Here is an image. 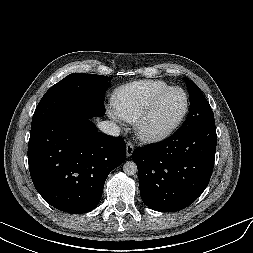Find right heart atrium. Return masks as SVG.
Segmentation results:
<instances>
[{"label": "right heart atrium", "mask_w": 253, "mask_h": 253, "mask_svg": "<svg viewBox=\"0 0 253 253\" xmlns=\"http://www.w3.org/2000/svg\"><path fill=\"white\" fill-rule=\"evenodd\" d=\"M108 114L110 115L111 118L115 120H118L120 118L114 107H109Z\"/></svg>", "instance_id": "right-heart-atrium-1"}]
</instances>
